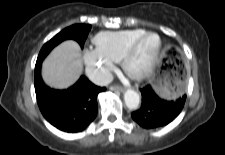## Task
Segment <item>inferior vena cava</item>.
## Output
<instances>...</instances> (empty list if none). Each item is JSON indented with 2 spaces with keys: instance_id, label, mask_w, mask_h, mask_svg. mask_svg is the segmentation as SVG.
Listing matches in <instances>:
<instances>
[{
  "instance_id": "1",
  "label": "inferior vena cava",
  "mask_w": 225,
  "mask_h": 155,
  "mask_svg": "<svg viewBox=\"0 0 225 155\" xmlns=\"http://www.w3.org/2000/svg\"><path fill=\"white\" fill-rule=\"evenodd\" d=\"M113 80V75L107 70H99L92 77L91 81L98 86H106Z\"/></svg>"
}]
</instances>
